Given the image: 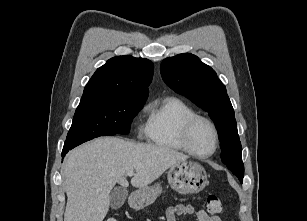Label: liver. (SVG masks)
<instances>
[{
	"instance_id": "6515ba94",
	"label": "liver",
	"mask_w": 307,
	"mask_h": 221,
	"mask_svg": "<svg viewBox=\"0 0 307 221\" xmlns=\"http://www.w3.org/2000/svg\"><path fill=\"white\" fill-rule=\"evenodd\" d=\"M187 159L163 146L115 137L97 138L73 149L63 166L67 194L64 221H103L115 184L129 186L125 178L128 171H135L131 185L142 188Z\"/></svg>"
}]
</instances>
